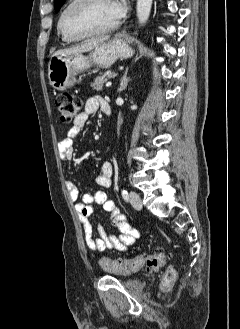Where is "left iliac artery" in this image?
<instances>
[{
  "label": "left iliac artery",
  "instance_id": "obj_1",
  "mask_svg": "<svg viewBox=\"0 0 240 329\" xmlns=\"http://www.w3.org/2000/svg\"><path fill=\"white\" fill-rule=\"evenodd\" d=\"M122 197L126 201H128V199H129L128 192L125 189H122Z\"/></svg>",
  "mask_w": 240,
  "mask_h": 329
}]
</instances>
